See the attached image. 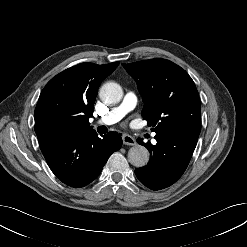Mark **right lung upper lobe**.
I'll use <instances>...</instances> for the list:
<instances>
[{
	"instance_id": "1",
	"label": "right lung upper lobe",
	"mask_w": 247,
	"mask_h": 247,
	"mask_svg": "<svg viewBox=\"0 0 247 247\" xmlns=\"http://www.w3.org/2000/svg\"><path fill=\"white\" fill-rule=\"evenodd\" d=\"M118 65L81 63L47 83L35 109L34 129L40 146L58 124H67L73 130H93L88 120L93 115L98 87Z\"/></svg>"
}]
</instances>
